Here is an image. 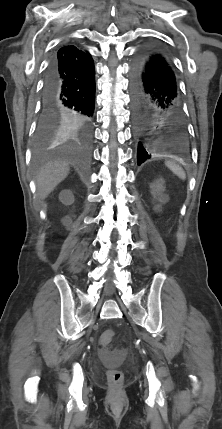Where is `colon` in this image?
Returning a JSON list of instances; mask_svg holds the SVG:
<instances>
[{
    "label": "colon",
    "mask_w": 222,
    "mask_h": 429,
    "mask_svg": "<svg viewBox=\"0 0 222 429\" xmlns=\"http://www.w3.org/2000/svg\"><path fill=\"white\" fill-rule=\"evenodd\" d=\"M115 333L113 330H106L100 337V343L102 346L107 347L113 340ZM108 381L111 386L118 387L124 380V374L118 369H110L107 373Z\"/></svg>",
    "instance_id": "obj_1"
}]
</instances>
